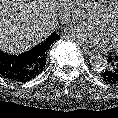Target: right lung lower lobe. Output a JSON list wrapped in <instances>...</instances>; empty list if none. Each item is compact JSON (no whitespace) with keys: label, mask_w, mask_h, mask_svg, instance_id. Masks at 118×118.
Masks as SVG:
<instances>
[{"label":"right lung lower lobe","mask_w":118,"mask_h":118,"mask_svg":"<svg viewBox=\"0 0 118 118\" xmlns=\"http://www.w3.org/2000/svg\"><path fill=\"white\" fill-rule=\"evenodd\" d=\"M36 67L37 58L31 50L20 55H8L0 51V75L10 81H29L42 71Z\"/></svg>","instance_id":"98d812e1"}]
</instances>
